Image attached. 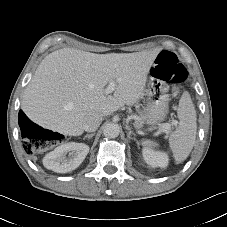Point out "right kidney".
I'll return each instance as SVG.
<instances>
[{"label": "right kidney", "mask_w": 227, "mask_h": 227, "mask_svg": "<svg viewBox=\"0 0 227 227\" xmlns=\"http://www.w3.org/2000/svg\"><path fill=\"white\" fill-rule=\"evenodd\" d=\"M88 152L89 146L84 143H64L43 158V165L54 172L67 173L75 170Z\"/></svg>", "instance_id": "obj_1"}]
</instances>
